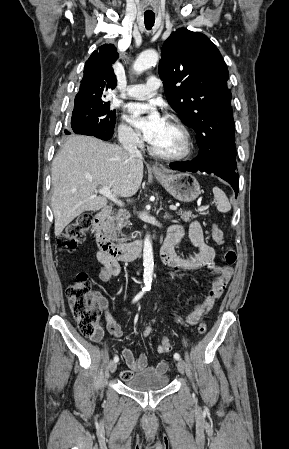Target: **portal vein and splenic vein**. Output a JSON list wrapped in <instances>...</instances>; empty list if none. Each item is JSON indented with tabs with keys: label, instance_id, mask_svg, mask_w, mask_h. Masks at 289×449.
<instances>
[{
	"label": "portal vein and splenic vein",
	"instance_id": "1",
	"mask_svg": "<svg viewBox=\"0 0 289 449\" xmlns=\"http://www.w3.org/2000/svg\"><path fill=\"white\" fill-rule=\"evenodd\" d=\"M96 192L102 194L103 196L107 197L108 199H110L111 201H113L114 203H116L118 206H123L122 202L120 200H118L110 191V189L106 186H102L101 188H99L98 190H96ZM171 210H177V206L175 205H170L169 207ZM204 208H199V211H202Z\"/></svg>",
	"mask_w": 289,
	"mask_h": 449
}]
</instances>
